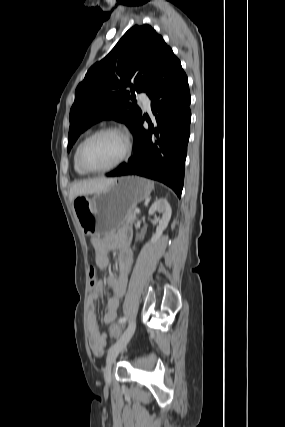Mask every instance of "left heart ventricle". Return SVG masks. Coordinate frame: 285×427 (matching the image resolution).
I'll return each instance as SVG.
<instances>
[{
  "mask_svg": "<svg viewBox=\"0 0 285 427\" xmlns=\"http://www.w3.org/2000/svg\"><path fill=\"white\" fill-rule=\"evenodd\" d=\"M126 142L118 133H105L93 139L84 150L85 164L94 169L103 168L117 161L125 150Z\"/></svg>",
  "mask_w": 285,
  "mask_h": 427,
  "instance_id": "obj_1",
  "label": "left heart ventricle"
}]
</instances>
